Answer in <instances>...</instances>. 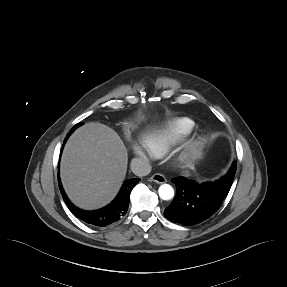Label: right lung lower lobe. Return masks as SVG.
<instances>
[{
  "label": "right lung lower lobe",
  "mask_w": 287,
  "mask_h": 287,
  "mask_svg": "<svg viewBox=\"0 0 287 287\" xmlns=\"http://www.w3.org/2000/svg\"><path fill=\"white\" fill-rule=\"evenodd\" d=\"M71 133L72 131H70L67 134L66 139ZM66 139L64 140V143ZM139 181H140L139 178H133V179L125 181L118 195L109 205L99 210L85 211V210L77 208L75 205H73L70 202V200L68 199V197L66 196L62 188L60 179L58 178L60 192L69 210L78 219L82 220L83 222L89 225L99 226V227L107 226L111 223H114L126 214L128 210V206H129L130 193Z\"/></svg>",
  "instance_id": "obj_1"
}]
</instances>
